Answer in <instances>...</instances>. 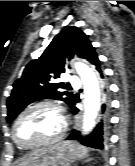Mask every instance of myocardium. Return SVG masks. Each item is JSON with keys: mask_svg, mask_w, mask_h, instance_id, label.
Segmentation results:
<instances>
[{"mask_svg": "<svg viewBox=\"0 0 135 166\" xmlns=\"http://www.w3.org/2000/svg\"><path fill=\"white\" fill-rule=\"evenodd\" d=\"M41 107H50L59 112L61 121H62V126H61L60 131L58 132V134L55 137L45 140V141L38 142V143L24 144V143L20 142L16 136V128H17L19 121L29 111L36 109V108H41ZM67 126H68V122H67V117L65 115V110H64L63 106H61L59 103H57L55 101H41V102H37V103H34V104L26 107L17 116V118L15 119L13 126H12V139L16 145H18L21 148H25V149H35V148H40V147H44V146H50V145L56 144L64 137V135L67 131Z\"/></svg>", "mask_w": 135, "mask_h": 166, "instance_id": "obj_1", "label": "myocardium"}]
</instances>
